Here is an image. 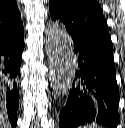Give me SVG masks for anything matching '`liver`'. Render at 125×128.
Wrapping results in <instances>:
<instances>
[{
  "label": "liver",
  "instance_id": "obj_1",
  "mask_svg": "<svg viewBox=\"0 0 125 128\" xmlns=\"http://www.w3.org/2000/svg\"><path fill=\"white\" fill-rule=\"evenodd\" d=\"M4 93L0 87V128H9V124L6 120L5 101L3 99Z\"/></svg>",
  "mask_w": 125,
  "mask_h": 128
}]
</instances>
